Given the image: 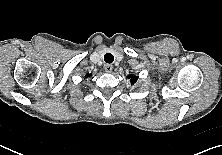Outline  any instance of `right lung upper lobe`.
<instances>
[{
	"instance_id": "right-lung-upper-lobe-1",
	"label": "right lung upper lobe",
	"mask_w": 222,
	"mask_h": 155,
	"mask_svg": "<svg viewBox=\"0 0 222 155\" xmlns=\"http://www.w3.org/2000/svg\"><path fill=\"white\" fill-rule=\"evenodd\" d=\"M89 76H90V74H87V75H86V77H89Z\"/></svg>"
}]
</instances>
